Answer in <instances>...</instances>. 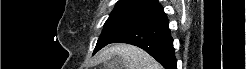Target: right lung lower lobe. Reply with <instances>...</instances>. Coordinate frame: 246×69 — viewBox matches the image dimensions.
<instances>
[{"instance_id": "right-lung-lower-lobe-1", "label": "right lung lower lobe", "mask_w": 246, "mask_h": 69, "mask_svg": "<svg viewBox=\"0 0 246 69\" xmlns=\"http://www.w3.org/2000/svg\"><path fill=\"white\" fill-rule=\"evenodd\" d=\"M143 20L111 43L123 42L138 46L153 56L165 69H176L173 39L167 16L161 6L142 15Z\"/></svg>"}]
</instances>
